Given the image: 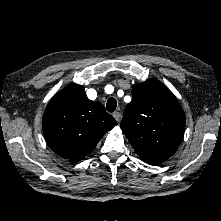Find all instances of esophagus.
Masks as SVG:
<instances>
[{
	"mask_svg": "<svg viewBox=\"0 0 221 221\" xmlns=\"http://www.w3.org/2000/svg\"><path fill=\"white\" fill-rule=\"evenodd\" d=\"M113 117L116 119V121H117L118 123H120V121H121V119H122L121 113L115 112V113L113 114Z\"/></svg>",
	"mask_w": 221,
	"mask_h": 221,
	"instance_id": "1",
	"label": "esophagus"
}]
</instances>
